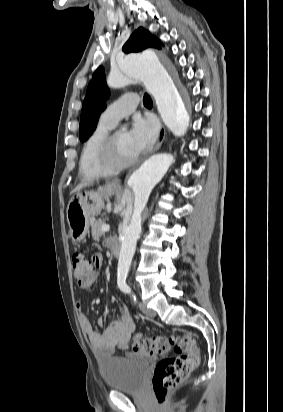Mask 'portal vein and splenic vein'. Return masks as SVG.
<instances>
[{"label":"portal vein and splenic vein","mask_w":283,"mask_h":412,"mask_svg":"<svg viewBox=\"0 0 283 412\" xmlns=\"http://www.w3.org/2000/svg\"><path fill=\"white\" fill-rule=\"evenodd\" d=\"M109 229H110V226H109V225H103V226H102V231H103V232H107V231H109Z\"/></svg>","instance_id":"18ae733b"}]
</instances>
